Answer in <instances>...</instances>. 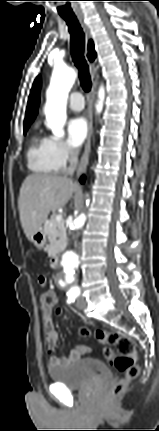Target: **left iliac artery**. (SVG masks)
<instances>
[{
  "label": "left iliac artery",
  "mask_w": 159,
  "mask_h": 431,
  "mask_svg": "<svg viewBox=\"0 0 159 431\" xmlns=\"http://www.w3.org/2000/svg\"><path fill=\"white\" fill-rule=\"evenodd\" d=\"M78 295H79V291L77 292V296H78ZM77 296H76V297H77Z\"/></svg>",
  "instance_id": "1"
}]
</instances>
